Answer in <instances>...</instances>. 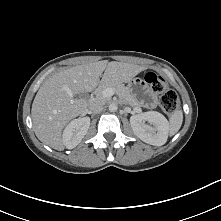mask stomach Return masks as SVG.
I'll return each mask as SVG.
<instances>
[{"label":"stomach","mask_w":221,"mask_h":221,"mask_svg":"<svg viewBox=\"0 0 221 221\" xmlns=\"http://www.w3.org/2000/svg\"><path fill=\"white\" fill-rule=\"evenodd\" d=\"M148 85L147 83L141 79V78H133L130 81H128V89L131 92V94L139 100H143L145 97V94L147 92Z\"/></svg>","instance_id":"stomach-1"}]
</instances>
